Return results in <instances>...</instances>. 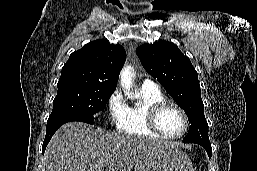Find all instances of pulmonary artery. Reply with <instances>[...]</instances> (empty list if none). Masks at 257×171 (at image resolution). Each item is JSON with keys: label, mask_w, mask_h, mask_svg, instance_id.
I'll return each mask as SVG.
<instances>
[{"label": "pulmonary artery", "mask_w": 257, "mask_h": 171, "mask_svg": "<svg viewBox=\"0 0 257 171\" xmlns=\"http://www.w3.org/2000/svg\"><path fill=\"white\" fill-rule=\"evenodd\" d=\"M143 85H147V86H156V83H155L153 80H151V79H145V80L143 81Z\"/></svg>", "instance_id": "pulmonary-artery-1"}]
</instances>
